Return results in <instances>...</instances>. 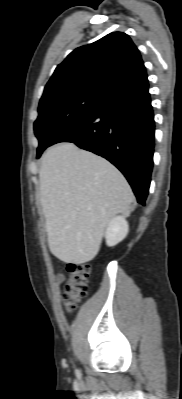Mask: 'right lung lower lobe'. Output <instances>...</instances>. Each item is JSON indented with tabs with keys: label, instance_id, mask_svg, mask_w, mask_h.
Listing matches in <instances>:
<instances>
[{
	"label": "right lung lower lobe",
	"instance_id": "1",
	"mask_svg": "<svg viewBox=\"0 0 182 399\" xmlns=\"http://www.w3.org/2000/svg\"><path fill=\"white\" fill-rule=\"evenodd\" d=\"M154 114L148 81L113 92L102 105L58 132L51 145L73 142L114 164L145 205L154 152Z\"/></svg>",
	"mask_w": 182,
	"mask_h": 399
}]
</instances>
